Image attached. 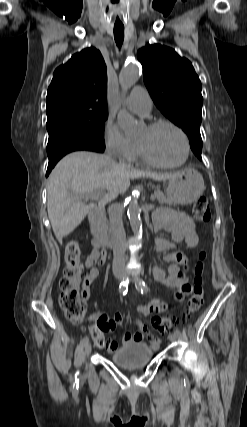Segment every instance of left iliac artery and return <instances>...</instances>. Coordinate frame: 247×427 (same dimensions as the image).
<instances>
[{
    "mask_svg": "<svg viewBox=\"0 0 247 427\" xmlns=\"http://www.w3.org/2000/svg\"><path fill=\"white\" fill-rule=\"evenodd\" d=\"M135 286H136V289L139 292H141L142 294L147 293V291H148L147 285H146V283L144 282L143 279H138L137 278L136 281H135ZM174 333H176L177 335L181 334L179 329H176L174 331Z\"/></svg>",
    "mask_w": 247,
    "mask_h": 427,
    "instance_id": "44dca946",
    "label": "left iliac artery"
}]
</instances>
